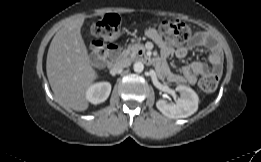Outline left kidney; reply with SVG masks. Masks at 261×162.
<instances>
[{"label": "left kidney", "mask_w": 261, "mask_h": 162, "mask_svg": "<svg viewBox=\"0 0 261 162\" xmlns=\"http://www.w3.org/2000/svg\"><path fill=\"white\" fill-rule=\"evenodd\" d=\"M176 91L180 97L176 103H168L164 99L156 102L157 109L166 117L172 119L186 118L198 110L199 98L196 92L185 85H178Z\"/></svg>", "instance_id": "obj_1"}]
</instances>
